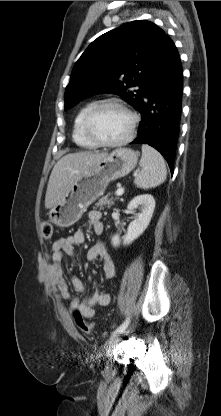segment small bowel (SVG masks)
I'll return each mask as SVG.
<instances>
[{
	"label": "small bowel",
	"instance_id": "obj_1",
	"mask_svg": "<svg viewBox=\"0 0 221 416\" xmlns=\"http://www.w3.org/2000/svg\"><path fill=\"white\" fill-rule=\"evenodd\" d=\"M101 217V212L97 210H92L88 213V221L97 235H100L104 230ZM84 241L85 233L82 230H77L71 236L61 237L56 240L52 245L51 262L48 265L47 273L50 284L59 297L62 300L70 301V313L73 314L77 310L85 318H92L95 315L96 306H107L110 303V295L99 291L88 295L82 280L72 275L70 276V283L76 292L80 294V297H73L69 291L62 268L63 253L73 254L74 247L83 244ZM87 258L90 261L99 260L101 262L103 275L106 279H112L115 276V264L103 243L98 242L92 246L87 253Z\"/></svg>",
	"mask_w": 221,
	"mask_h": 416
}]
</instances>
